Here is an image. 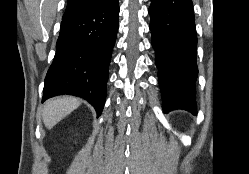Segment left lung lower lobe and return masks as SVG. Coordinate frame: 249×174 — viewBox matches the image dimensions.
Listing matches in <instances>:
<instances>
[{
	"instance_id": "obj_1",
	"label": "left lung lower lobe",
	"mask_w": 249,
	"mask_h": 174,
	"mask_svg": "<svg viewBox=\"0 0 249 174\" xmlns=\"http://www.w3.org/2000/svg\"><path fill=\"white\" fill-rule=\"evenodd\" d=\"M149 14L163 111L185 109L196 115L197 37L192 0H151Z\"/></svg>"
}]
</instances>
